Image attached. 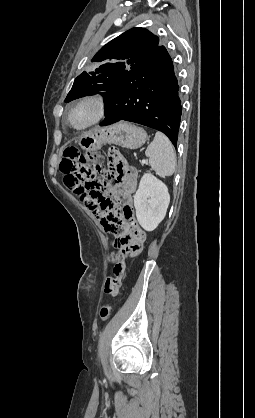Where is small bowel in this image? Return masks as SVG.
Returning <instances> with one entry per match:
<instances>
[{"label":"small bowel","instance_id":"small-bowel-1","mask_svg":"<svg viewBox=\"0 0 255 418\" xmlns=\"http://www.w3.org/2000/svg\"><path fill=\"white\" fill-rule=\"evenodd\" d=\"M108 163H114L117 173L114 176L115 185L108 188V192L120 204L116 216L122 220L133 218L132 198L137 187V172L127 165L121 147H108ZM105 231L118 241L112 242L111 262L114 265L112 274L107 275L104 285V295L109 300H118L120 280L125 277V262L132 261L134 256H141L145 247L144 228H116L111 227L109 221L100 222Z\"/></svg>","mask_w":255,"mask_h":418}]
</instances>
